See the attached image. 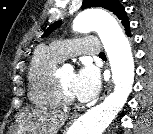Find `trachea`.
<instances>
[{
	"label": "trachea",
	"instance_id": "1",
	"mask_svg": "<svg viewBox=\"0 0 153 134\" xmlns=\"http://www.w3.org/2000/svg\"><path fill=\"white\" fill-rule=\"evenodd\" d=\"M99 56H105V53H104V52H101V53L99 54Z\"/></svg>",
	"mask_w": 153,
	"mask_h": 134
}]
</instances>
